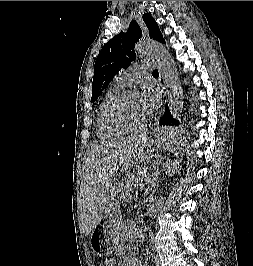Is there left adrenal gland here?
<instances>
[{"label":"left adrenal gland","instance_id":"left-adrenal-gland-1","mask_svg":"<svg viewBox=\"0 0 253 266\" xmlns=\"http://www.w3.org/2000/svg\"><path fill=\"white\" fill-rule=\"evenodd\" d=\"M158 168V167H157ZM148 183H149V188L151 189H155L156 187V183H155V179L154 177H152L151 179L148 180Z\"/></svg>","mask_w":253,"mask_h":266}]
</instances>
